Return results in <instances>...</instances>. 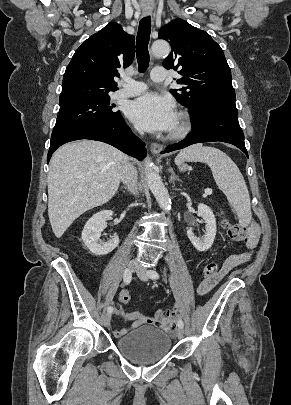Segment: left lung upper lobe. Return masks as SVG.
<instances>
[{"label": "left lung upper lobe", "instance_id": "left-lung-upper-lobe-1", "mask_svg": "<svg viewBox=\"0 0 291 405\" xmlns=\"http://www.w3.org/2000/svg\"><path fill=\"white\" fill-rule=\"evenodd\" d=\"M158 38L171 44L172 52L163 66L178 70L182 76L177 83L183 87L170 92L189 108L191 123L200 121L211 103L235 102L231 71L223 50L207 32L176 18L160 29Z\"/></svg>", "mask_w": 291, "mask_h": 405}]
</instances>
